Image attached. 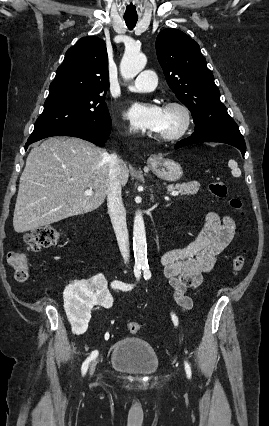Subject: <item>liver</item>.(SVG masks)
Segmentation results:
<instances>
[{"label": "liver", "mask_w": 269, "mask_h": 426, "mask_svg": "<svg viewBox=\"0 0 269 426\" xmlns=\"http://www.w3.org/2000/svg\"><path fill=\"white\" fill-rule=\"evenodd\" d=\"M120 174L126 185L129 170ZM109 154L76 137H51L30 151L21 174L13 227L35 230L71 216L92 212L107 195ZM87 188L93 195L87 196Z\"/></svg>", "instance_id": "obj_1"}]
</instances>
